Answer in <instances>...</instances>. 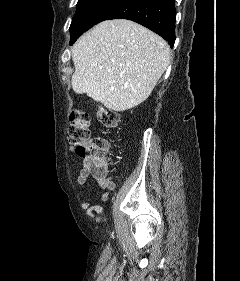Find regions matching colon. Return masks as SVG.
<instances>
[{"mask_svg": "<svg viewBox=\"0 0 240 281\" xmlns=\"http://www.w3.org/2000/svg\"><path fill=\"white\" fill-rule=\"evenodd\" d=\"M95 115L105 129H113L118 125L119 116L114 111L101 107L96 110ZM69 121L68 142L71 151L88 160L89 171L93 174L98 176L106 174L112 161L109 142L104 137H91L90 114L83 110H74Z\"/></svg>", "mask_w": 240, "mask_h": 281, "instance_id": "obj_1", "label": "colon"}]
</instances>
